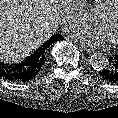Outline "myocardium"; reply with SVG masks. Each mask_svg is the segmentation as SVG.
<instances>
[{"mask_svg":"<svg viewBox=\"0 0 118 118\" xmlns=\"http://www.w3.org/2000/svg\"><path fill=\"white\" fill-rule=\"evenodd\" d=\"M117 2H118V0H111L101 11L97 12V16L110 14ZM112 46L114 48H118V43H112Z\"/></svg>","mask_w":118,"mask_h":118,"instance_id":"myocardium-1","label":"myocardium"}]
</instances>
